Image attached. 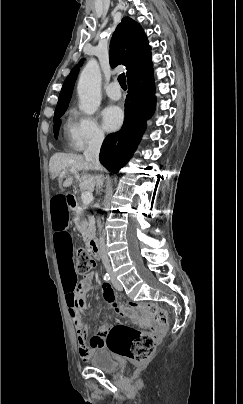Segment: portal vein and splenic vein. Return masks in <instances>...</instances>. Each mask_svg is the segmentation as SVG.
Masks as SVG:
<instances>
[{"label":"portal vein and splenic vein","mask_w":243,"mask_h":404,"mask_svg":"<svg viewBox=\"0 0 243 404\" xmlns=\"http://www.w3.org/2000/svg\"><path fill=\"white\" fill-rule=\"evenodd\" d=\"M66 172L67 170H64L61 176H65ZM69 172H71V174H75L77 180H80L76 170H69ZM81 198H82V204H84V206H88V204H90V202H92L93 200L92 192H83ZM83 210H86V208H83Z\"/></svg>","instance_id":"18ae733b"}]
</instances>
